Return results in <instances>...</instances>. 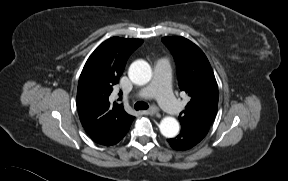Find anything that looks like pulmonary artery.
I'll list each match as a JSON object with an SVG mask.
<instances>
[{"instance_id": "obj_1", "label": "pulmonary artery", "mask_w": 288, "mask_h": 181, "mask_svg": "<svg viewBox=\"0 0 288 181\" xmlns=\"http://www.w3.org/2000/svg\"><path fill=\"white\" fill-rule=\"evenodd\" d=\"M171 66L167 58H160L155 64L153 82L142 88L135 95L136 98L149 99L156 97L161 107L170 115H178L181 104L175 99L170 88Z\"/></svg>"}]
</instances>
